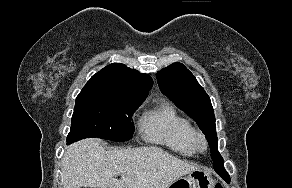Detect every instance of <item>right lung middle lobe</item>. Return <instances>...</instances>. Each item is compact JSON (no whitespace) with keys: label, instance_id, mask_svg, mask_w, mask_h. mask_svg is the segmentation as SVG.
Returning a JSON list of instances; mask_svg holds the SVG:
<instances>
[{"label":"right lung middle lobe","instance_id":"obj_1","mask_svg":"<svg viewBox=\"0 0 292 188\" xmlns=\"http://www.w3.org/2000/svg\"><path fill=\"white\" fill-rule=\"evenodd\" d=\"M144 98L99 86H84L76 98L67 144L87 137L112 141L132 138V115Z\"/></svg>","mask_w":292,"mask_h":188}]
</instances>
